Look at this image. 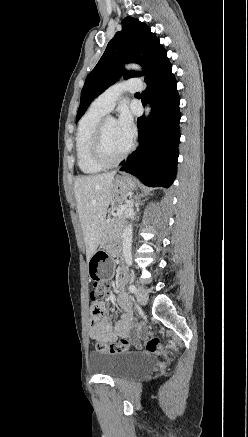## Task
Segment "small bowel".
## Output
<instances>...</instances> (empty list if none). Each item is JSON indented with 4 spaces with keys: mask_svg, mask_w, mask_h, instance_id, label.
I'll return each instance as SVG.
<instances>
[{
    "mask_svg": "<svg viewBox=\"0 0 248 437\" xmlns=\"http://www.w3.org/2000/svg\"><path fill=\"white\" fill-rule=\"evenodd\" d=\"M127 280V273L124 270L119 272L117 281V302L125 313L120 316L115 325H113L105 316V307L102 303H94L91 306L89 327V336L91 339L102 343H112L119 337H127L129 335L131 324V301L123 291V286ZM141 331L142 328H139L137 334Z\"/></svg>",
    "mask_w": 248,
    "mask_h": 437,
    "instance_id": "1",
    "label": "small bowel"
}]
</instances>
